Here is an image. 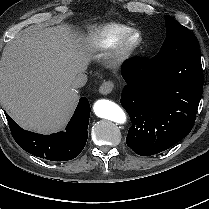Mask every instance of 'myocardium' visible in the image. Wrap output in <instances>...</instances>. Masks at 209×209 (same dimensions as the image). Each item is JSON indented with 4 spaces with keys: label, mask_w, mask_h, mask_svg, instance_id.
Wrapping results in <instances>:
<instances>
[{
    "label": "myocardium",
    "mask_w": 209,
    "mask_h": 209,
    "mask_svg": "<svg viewBox=\"0 0 209 209\" xmlns=\"http://www.w3.org/2000/svg\"><path fill=\"white\" fill-rule=\"evenodd\" d=\"M142 35L136 29L128 30L117 36L109 45L108 60L118 66L128 59L142 44Z\"/></svg>",
    "instance_id": "f54148a6"
}]
</instances>
